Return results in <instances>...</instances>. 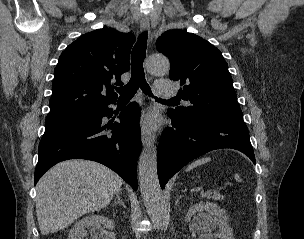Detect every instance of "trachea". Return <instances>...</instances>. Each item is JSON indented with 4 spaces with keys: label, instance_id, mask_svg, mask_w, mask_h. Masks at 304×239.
<instances>
[{
    "label": "trachea",
    "instance_id": "3493384b",
    "mask_svg": "<svg viewBox=\"0 0 304 239\" xmlns=\"http://www.w3.org/2000/svg\"><path fill=\"white\" fill-rule=\"evenodd\" d=\"M147 47V32L144 31L140 34L137 43L135 44L132 55H131V79L130 81L120 88H116L119 93V100H130L137 90L141 88L144 94L151 96L152 91L145 79L143 61L145 59ZM159 101H173L177 102L176 98H171L169 100L157 99Z\"/></svg>",
    "mask_w": 304,
    "mask_h": 239
}]
</instances>
